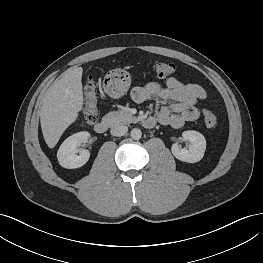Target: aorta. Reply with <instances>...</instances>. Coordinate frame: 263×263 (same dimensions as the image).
Here are the masks:
<instances>
[{"instance_id": "1", "label": "aorta", "mask_w": 263, "mask_h": 263, "mask_svg": "<svg viewBox=\"0 0 263 263\" xmlns=\"http://www.w3.org/2000/svg\"><path fill=\"white\" fill-rule=\"evenodd\" d=\"M130 136L133 140H139L142 136V132L138 128H134L131 130Z\"/></svg>"}]
</instances>
